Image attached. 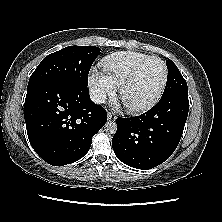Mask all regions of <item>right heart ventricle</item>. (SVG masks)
<instances>
[{
  "mask_svg": "<svg viewBox=\"0 0 222 222\" xmlns=\"http://www.w3.org/2000/svg\"><path fill=\"white\" fill-rule=\"evenodd\" d=\"M148 57L150 55L135 51L115 52L103 58L101 66L110 81L119 87L135 67Z\"/></svg>",
  "mask_w": 222,
  "mask_h": 222,
  "instance_id": "obj_1",
  "label": "right heart ventricle"
}]
</instances>
